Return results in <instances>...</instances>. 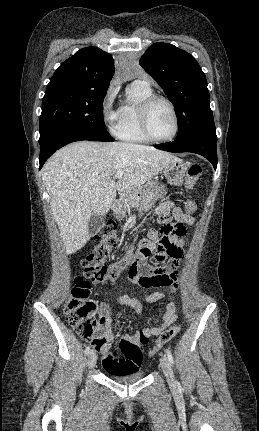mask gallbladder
<instances>
[{"instance_id": "1", "label": "gallbladder", "mask_w": 259, "mask_h": 431, "mask_svg": "<svg viewBox=\"0 0 259 431\" xmlns=\"http://www.w3.org/2000/svg\"><path fill=\"white\" fill-rule=\"evenodd\" d=\"M103 217L101 215L92 213L88 221V230L90 235H95L103 225Z\"/></svg>"}]
</instances>
